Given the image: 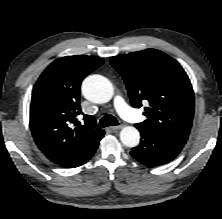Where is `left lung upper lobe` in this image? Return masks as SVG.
<instances>
[{
	"label": "left lung upper lobe",
	"instance_id": "5c2ea615",
	"mask_svg": "<svg viewBox=\"0 0 222 219\" xmlns=\"http://www.w3.org/2000/svg\"><path fill=\"white\" fill-rule=\"evenodd\" d=\"M120 73L133 107L147 101L140 124L149 130L185 144L194 114V93L181 65L156 49L122 54L110 59Z\"/></svg>",
	"mask_w": 222,
	"mask_h": 219
}]
</instances>
